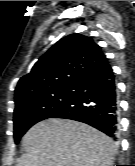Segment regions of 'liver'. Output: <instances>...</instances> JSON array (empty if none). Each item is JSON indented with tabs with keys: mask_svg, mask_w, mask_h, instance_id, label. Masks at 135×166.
<instances>
[{
	"mask_svg": "<svg viewBox=\"0 0 135 166\" xmlns=\"http://www.w3.org/2000/svg\"><path fill=\"white\" fill-rule=\"evenodd\" d=\"M26 150L16 166H111L116 147L95 128L73 120L49 118L22 139Z\"/></svg>",
	"mask_w": 135,
	"mask_h": 166,
	"instance_id": "1",
	"label": "liver"
}]
</instances>
